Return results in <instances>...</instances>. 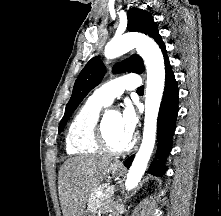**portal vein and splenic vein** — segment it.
Listing matches in <instances>:
<instances>
[{"label": "portal vein and splenic vein", "instance_id": "1", "mask_svg": "<svg viewBox=\"0 0 221 216\" xmlns=\"http://www.w3.org/2000/svg\"><path fill=\"white\" fill-rule=\"evenodd\" d=\"M114 190V186H109L106 188V192H110V191H113Z\"/></svg>", "mask_w": 221, "mask_h": 216}]
</instances>
